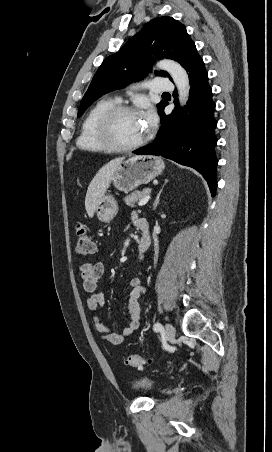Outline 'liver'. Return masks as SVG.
<instances>
[{
	"label": "liver",
	"mask_w": 272,
	"mask_h": 452,
	"mask_svg": "<svg viewBox=\"0 0 272 452\" xmlns=\"http://www.w3.org/2000/svg\"><path fill=\"white\" fill-rule=\"evenodd\" d=\"M125 159V157L116 158L104 165L90 182L86 198L85 209L90 218L94 216L95 209L105 195L116 167Z\"/></svg>",
	"instance_id": "liver-1"
}]
</instances>
